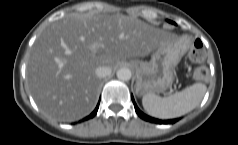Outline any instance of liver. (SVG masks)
<instances>
[{
  "instance_id": "liver-1",
  "label": "liver",
  "mask_w": 238,
  "mask_h": 145,
  "mask_svg": "<svg viewBox=\"0 0 238 145\" xmlns=\"http://www.w3.org/2000/svg\"><path fill=\"white\" fill-rule=\"evenodd\" d=\"M168 33L122 14L70 13L36 38L27 62V83L39 109L64 122L88 115L98 99L96 68L144 57Z\"/></svg>"
}]
</instances>
